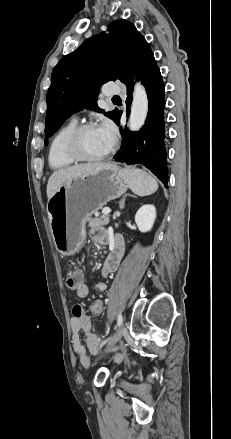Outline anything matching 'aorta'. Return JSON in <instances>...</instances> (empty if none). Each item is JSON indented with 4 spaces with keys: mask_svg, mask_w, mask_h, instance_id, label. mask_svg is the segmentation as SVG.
<instances>
[{
    "mask_svg": "<svg viewBox=\"0 0 231 439\" xmlns=\"http://www.w3.org/2000/svg\"><path fill=\"white\" fill-rule=\"evenodd\" d=\"M148 113V97L142 84L137 83L134 87L133 101L129 119L131 131H138L145 123Z\"/></svg>",
    "mask_w": 231,
    "mask_h": 439,
    "instance_id": "762f6f07",
    "label": "aorta"
}]
</instances>
